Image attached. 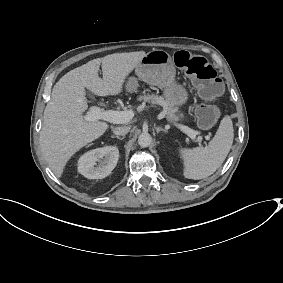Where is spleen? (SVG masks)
Masks as SVG:
<instances>
[{"label":"spleen","instance_id":"3e777b00","mask_svg":"<svg viewBox=\"0 0 283 283\" xmlns=\"http://www.w3.org/2000/svg\"><path fill=\"white\" fill-rule=\"evenodd\" d=\"M233 139L232 120L230 116H225L208 146L180 150L184 160V176L188 179L199 180L212 175L226 159Z\"/></svg>","mask_w":283,"mask_h":283}]
</instances>
